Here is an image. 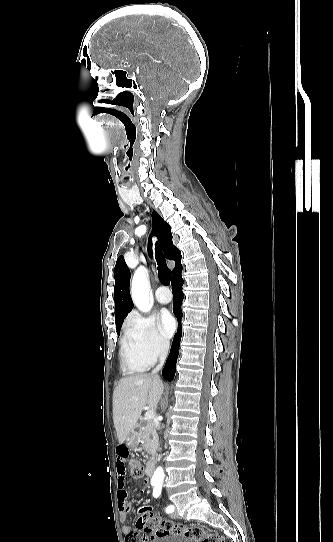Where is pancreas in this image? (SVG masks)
<instances>
[{
  "mask_svg": "<svg viewBox=\"0 0 333 542\" xmlns=\"http://www.w3.org/2000/svg\"><path fill=\"white\" fill-rule=\"evenodd\" d=\"M140 438L143 442L142 448L144 452H147L146 456H149V460H154L158 448V434L152 420H147V426H142Z\"/></svg>",
  "mask_w": 333,
  "mask_h": 542,
  "instance_id": "1",
  "label": "pancreas"
}]
</instances>
